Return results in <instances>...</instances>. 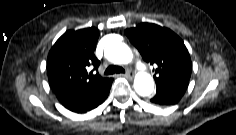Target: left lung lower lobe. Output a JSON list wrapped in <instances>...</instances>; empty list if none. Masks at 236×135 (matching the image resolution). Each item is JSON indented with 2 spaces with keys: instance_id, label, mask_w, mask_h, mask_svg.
<instances>
[{
  "instance_id": "left-lung-lower-lobe-1",
  "label": "left lung lower lobe",
  "mask_w": 236,
  "mask_h": 135,
  "mask_svg": "<svg viewBox=\"0 0 236 135\" xmlns=\"http://www.w3.org/2000/svg\"><path fill=\"white\" fill-rule=\"evenodd\" d=\"M188 82H172L157 85V91L151 102L158 105H174L184 95Z\"/></svg>"
}]
</instances>
